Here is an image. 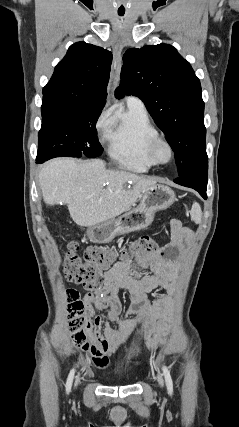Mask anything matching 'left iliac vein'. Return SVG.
Listing matches in <instances>:
<instances>
[{
  "label": "left iliac vein",
  "instance_id": "4c4485c4",
  "mask_svg": "<svg viewBox=\"0 0 239 427\" xmlns=\"http://www.w3.org/2000/svg\"><path fill=\"white\" fill-rule=\"evenodd\" d=\"M156 379H157L158 384H159L161 387H163V386H164V380H163L162 375H161V374H158V375H157V377H156Z\"/></svg>",
  "mask_w": 239,
  "mask_h": 427
}]
</instances>
